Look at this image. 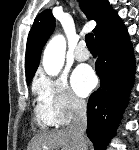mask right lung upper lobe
Here are the masks:
<instances>
[{
	"label": "right lung upper lobe",
	"mask_w": 139,
	"mask_h": 150,
	"mask_svg": "<svg viewBox=\"0 0 139 150\" xmlns=\"http://www.w3.org/2000/svg\"><path fill=\"white\" fill-rule=\"evenodd\" d=\"M80 3L87 18L93 19L97 23L93 30L95 37L116 14L108 0H80ZM54 28L55 19L51 10H45L36 17L29 32L26 47L25 70L27 83L32 80L36 72L40 62L41 50Z\"/></svg>",
	"instance_id": "1"
}]
</instances>
